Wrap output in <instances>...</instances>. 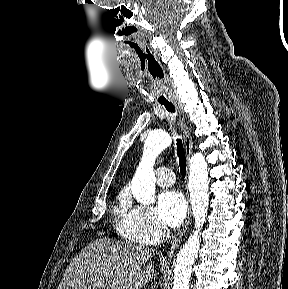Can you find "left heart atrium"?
Returning a JSON list of instances; mask_svg holds the SVG:
<instances>
[{
	"mask_svg": "<svg viewBox=\"0 0 288 289\" xmlns=\"http://www.w3.org/2000/svg\"><path fill=\"white\" fill-rule=\"evenodd\" d=\"M187 206L184 196L175 189L161 193L157 201L159 218L169 226H178L184 219Z\"/></svg>",
	"mask_w": 288,
	"mask_h": 289,
	"instance_id": "39dd6f15",
	"label": "left heart atrium"
}]
</instances>
